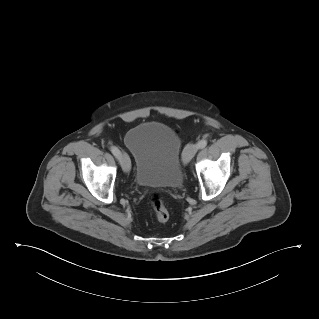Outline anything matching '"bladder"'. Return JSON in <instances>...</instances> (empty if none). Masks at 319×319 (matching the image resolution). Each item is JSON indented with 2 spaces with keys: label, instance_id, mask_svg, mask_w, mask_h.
<instances>
[{
  "label": "bladder",
  "instance_id": "obj_1",
  "mask_svg": "<svg viewBox=\"0 0 319 319\" xmlns=\"http://www.w3.org/2000/svg\"><path fill=\"white\" fill-rule=\"evenodd\" d=\"M124 144L135 160L136 184L153 188L181 186L182 143L170 126L161 122L138 124L126 132Z\"/></svg>",
  "mask_w": 319,
  "mask_h": 319
}]
</instances>
